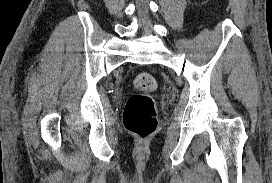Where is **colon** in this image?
<instances>
[{"instance_id":"obj_1","label":"colon","mask_w":272,"mask_h":183,"mask_svg":"<svg viewBox=\"0 0 272 183\" xmlns=\"http://www.w3.org/2000/svg\"><path fill=\"white\" fill-rule=\"evenodd\" d=\"M138 93L128 99L123 123L128 132L140 139L149 138L157 127V110L151 92L157 88L155 77L149 72L138 73L133 81Z\"/></svg>"}]
</instances>
